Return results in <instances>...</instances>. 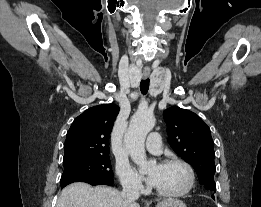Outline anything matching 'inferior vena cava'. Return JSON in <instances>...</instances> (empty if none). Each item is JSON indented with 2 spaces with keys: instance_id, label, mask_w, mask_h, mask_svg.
I'll list each match as a JSON object with an SVG mask.
<instances>
[{
  "instance_id": "obj_1",
  "label": "inferior vena cava",
  "mask_w": 261,
  "mask_h": 207,
  "mask_svg": "<svg viewBox=\"0 0 261 207\" xmlns=\"http://www.w3.org/2000/svg\"><path fill=\"white\" fill-rule=\"evenodd\" d=\"M122 197L128 201H135L139 198V186L135 182H127L123 186Z\"/></svg>"
}]
</instances>
